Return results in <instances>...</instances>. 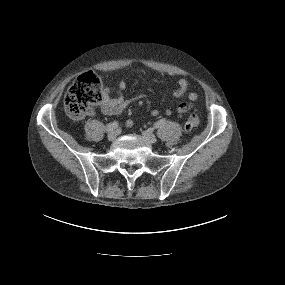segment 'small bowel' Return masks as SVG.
Here are the masks:
<instances>
[{"label": "small bowel", "instance_id": "obj_1", "mask_svg": "<svg viewBox=\"0 0 285 285\" xmlns=\"http://www.w3.org/2000/svg\"><path fill=\"white\" fill-rule=\"evenodd\" d=\"M188 81L185 78H180L177 81L176 88L174 90V96L177 98L186 97V100L178 104L176 107V112L178 114L186 113L188 110L192 109L198 100V95L196 92H187ZM127 87V81L121 79L117 87L111 88L106 87L102 92V99L98 103V108L106 115H120L122 114L130 104L141 99H145L147 96L145 94L137 95L134 97L127 98L123 95L124 90ZM172 110L167 108L165 114L167 116L172 115ZM152 116H158L159 111L154 109L151 111ZM128 127L133 126V121L128 120L126 122Z\"/></svg>", "mask_w": 285, "mask_h": 285}]
</instances>
